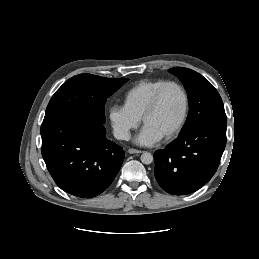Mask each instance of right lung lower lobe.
<instances>
[{"mask_svg": "<svg viewBox=\"0 0 259 259\" xmlns=\"http://www.w3.org/2000/svg\"><path fill=\"white\" fill-rule=\"evenodd\" d=\"M42 156L65 192L91 198L107 189L124 160L123 149L106 138L100 121L69 113L41 125Z\"/></svg>", "mask_w": 259, "mask_h": 259, "instance_id": "obj_1", "label": "right lung lower lobe"}]
</instances>
